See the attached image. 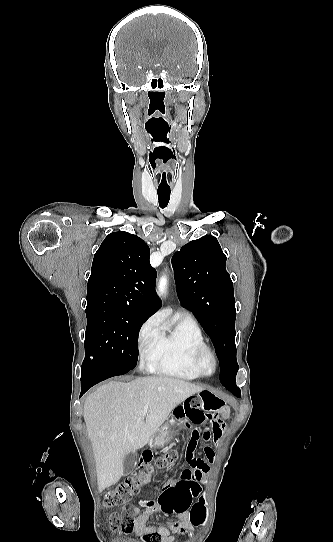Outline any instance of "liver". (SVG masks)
Wrapping results in <instances>:
<instances>
[{"label":"liver","mask_w":333,"mask_h":542,"mask_svg":"<svg viewBox=\"0 0 333 542\" xmlns=\"http://www.w3.org/2000/svg\"><path fill=\"white\" fill-rule=\"evenodd\" d=\"M206 388L173 376H146L133 382H108L84 402L98 492L123 476L126 454L144 448L178 404ZM148 406L147 414H143Z\"/></svg>","instance_id":"1"}]
</instances>
